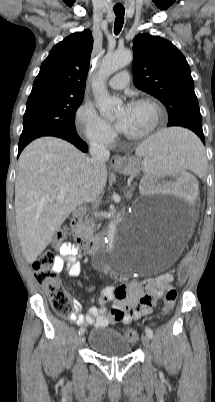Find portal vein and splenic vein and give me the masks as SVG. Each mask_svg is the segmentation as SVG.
<instances>
[{
	"instance_id": "1",
	"label": "portal vein and splenic vein",
	"mask_w": 215,
	"mask_h": 402,
	"mask_svg": "<svg viewBox=\"0 0 215 402\" xmlns=\"http://www.w3.org/2000/svg\"><path fill=\"white\" fill-rule=\"evenodd\" d=\"M66 191H67L66 188L61 189L60 194L58 196V200H61L64 197Z\"/></svg>"
}]
</instances>
